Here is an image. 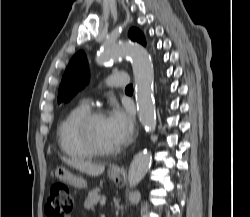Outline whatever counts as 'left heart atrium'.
<instances>
[{"label": "left heart atrium", "mask_w": 250, "mask_h": 217, "mask_svg": "<svg viewBox=\"0 0 250 217\" xmlns=\"http://www.w3.org/2000/svg\"><path fill=\"white\" fill-rule=\"evenodd\" d=\"M106 118L117 144L122 145L126 143L131 137L134 128V121L131 113L115 106Z\"/></svg>", "instance_id": "1"}]
</instances>
